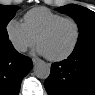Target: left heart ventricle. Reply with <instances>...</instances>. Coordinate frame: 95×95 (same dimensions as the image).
<instances>
[{
	"mask_svg": "<svg viewBox=\"0 0 95 95\" xmlns=\"http://www.w3.org/2000/svg\"><path fill=\"white\" fill-rule=\"evenodd\" d=\"M76 38L74 23L66 21L58 25L50 34L40 40L39 46L45 54L57 57L67 52Z\"/></svg>",
	"mask_w": 95,
	"mask_h": 95,
	"instance_id": "b2bd125f",
	"label": "left heart ventricle"
}]
</instances>
